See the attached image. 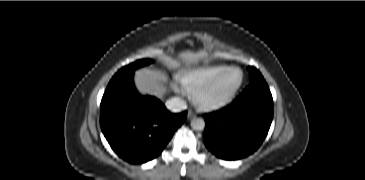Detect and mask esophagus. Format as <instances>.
Masks as SVG:
<instances>
[{
  "instance_id": "esophagus-1",
  "label": "esophagus",
  "mask_w": 365,
  "mask_h": 180,
  "mask_svg": "<svg viewBox=\"0 0 365 180\" xmlns=\"http://www.w3.org/2000/svg\"><path fill=\"white\" fill-rule=\"evenodd\" d=\"M193 117H195V113L193 111L189 110L188 113H187V118L191 119Z\"/></svg>"
}]
</instances>
